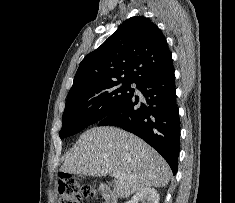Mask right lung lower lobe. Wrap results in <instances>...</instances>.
<instances>
[{
    "instance_id": "right-lung-lower-lobe-1",
    "label": "right lung lower lobe",
    "mask_w": 235,
    "mask_h": 203,
    "mask_svg": "<svg viewBox=\"0 0 235 203\" xmlns=\"http://www.w3.org/2000/svg\"><path fill=\"white\" fill-rule=\"evenodd\" d=\"M146 103L134 94L98 122L118 126L142 138L167 161L175 175L178 168L180 121L176 104L173 63L137 82Z\"/></svg>"
}]
</instances>
